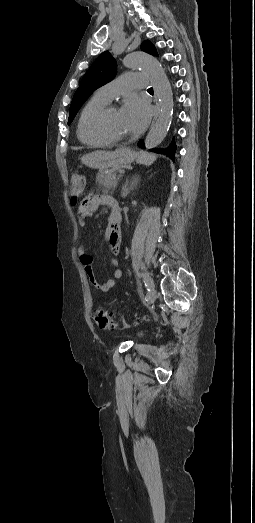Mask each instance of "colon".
Returning <instances> with one entry per match:
<instances>
[{
  "instance_id": "obj_1",
  "label": "colon",
  "mask_w": 255,
  "mask_h": 523,
  "mask_svg": "<svg viewBox=\"0 0 255 523\" xmlns=\"http://www.w3.org/2000/svg\"><path fill=\"white\" fill-rule=\"evenodd\" d=\"M85 189V179L80 174H75L72 176L71 185H70V196L71 202L75 205L78 200L82 197ZM85 198L83 199V201ZM82 201V202H83ZM96 324L99 328L104 330H111L116 327V323L113 320L112 316L103 308H98L94 314ZM142 317H137V320H141Z\"/></svg>"
}]
</instances>
